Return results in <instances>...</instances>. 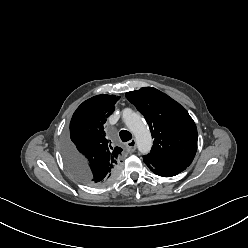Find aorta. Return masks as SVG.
Instances as JSON below:
<instances>
[{"mask_svg": "<svg viewBox=\"0 0 248 248\" xmlns=\"http://www.w3.org/2000/svg\"><path fill=\"white\" fill-rule=\"evenodd\" d=\"M123 118L126 126L136 138L138 150L143 154L148 153L152 147V137L141 116L128 109L124 112Z\"/></svg>", "mask_w": 248, "mask_h": 248, "instance_id": "obj_1", "label": "aorta"}]
</instances>
